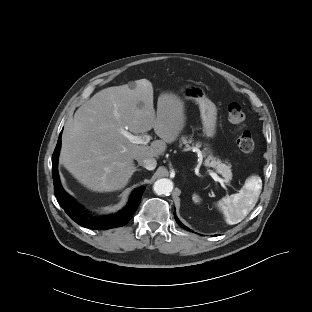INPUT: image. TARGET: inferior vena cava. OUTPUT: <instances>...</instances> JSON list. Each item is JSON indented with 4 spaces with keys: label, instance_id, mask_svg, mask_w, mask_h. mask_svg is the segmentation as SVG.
<instances>
[{
    "label": "inferior vena cava",
    "instance_id": "obj_1",
    "mask_svg": "<svg viewBox=\"0 0 312 312\" xmlns=\"http://www.w3.org/2000/svg\"><path fill=\"white\" fill-rule=\"evenodd\" d=\"M138 164L146 168L147 170H154L157 165V161L154 158H142L137 157Z\"/></svg>",
    "mask_w": 312,
    "mask_h": 312
}]
</instances>
